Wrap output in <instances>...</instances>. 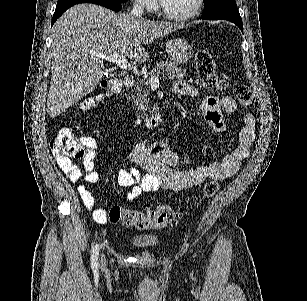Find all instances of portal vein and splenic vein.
<instances>
[{"label": "portal vein and splenic vein", "mask_w": 307, "mask_h": 301, "mask_svg": "<svg viewBox=\"0 0 307 301\" xmlns=\"http://www.w3.org/2000/svg\"><path fill=\"white\" fill-rule=\"evenodd\" d=\"M95 56H101V58H105L108 62H115L117 66L120 68H125V70H131L132 64H130L129 60H127L126 56L123 54H95ZM159 74H155V76H150L149 82L151 86H159L160 84Z\"/></svg>", "instance_id": "18ae733b"}]
</instances>
